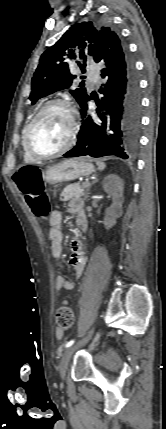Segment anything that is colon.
<instances>
[{"label": "colon", "instance_id": "5ec220e1", "mask_svg": "<svg viewBox=\"0 0 166 429\" xmlns=\"http://www.w3.org/2000/svg\"><path fill=\"white\" fill-rule=\"evenodd\" d=\"M13 181L32 211L39 217H45L50 206L44 190L41 167L33 164L23 165L14 173ZM55 320L58 328L63 331L73 326L74 314L66 302L57 309Z\"/></svg>", "mask_w": 166, "mask_h": 429}]
</instances>
